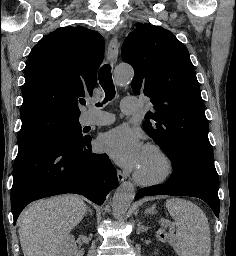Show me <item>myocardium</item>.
<instances>
[{
  "mask_svg": "<svg viewBox=\"0 0 236 256\" xmlns=\"http://www.w3.org/2000/svg\"><path fill=\"white\" fill-rule=\"evenodd\" d=\"M148 151L155 153L161 160L162 169L160 173L154 177H144L137 171L132 175L134 182L137 185L144 187L159 186L167 182L174 173V163L169 153L160 145L156 143H149L146 146Z\"/></svg>",
  "mask_w": 236,
  "mask_h": 256,
  "instance_id": "myocardium-1",
  "label": "myocardium"
}]
</instances>
